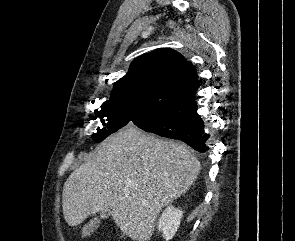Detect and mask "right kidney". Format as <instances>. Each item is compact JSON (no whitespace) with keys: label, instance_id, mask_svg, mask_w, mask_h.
Masks as SVG:
<instances>
[{"label":"right kidney","instance_id":"ca27d5eb","mask_svg":"<svg viewBox=\"0 0 295 241\" xmlns=\"http://www.w3.org/2000/svg\"><path fill=\"white\" fill-rule=\"evenodd\" d=\"M183 211L179 208L169 206L162 213L158 223V230L163 232V237L166 241L172 239L179 228Z\"/></svg>","mask_w":295,"mask_h":241}]
</instances>
